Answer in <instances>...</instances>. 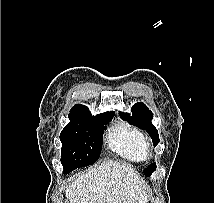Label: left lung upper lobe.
<instances>
[{
    "mask_svg": "<svg viewBox=\"0 0 214 203\" xmlns=\"http://www.w3.org/2000/svg\"><path fill=\"white\" fill-rule=\"evenodd\" d=\"M122 117L126 119L130 124L140 127L147 131L150 137L153 140L154 145H157L159 142L158 131L155 126L152 124L151 120L153 119V113L149 108L142 102L134 104L132 107V116L128 113L120 112ZM156 170V164L150 165L144 170L145 175L150 176L153 171Z\"/></svg>",
    "mask_w": 214,
    "mask_h": 203,
    "instance_id": "1",
    "label": "left lung upper lobe"
}]
</instances>
